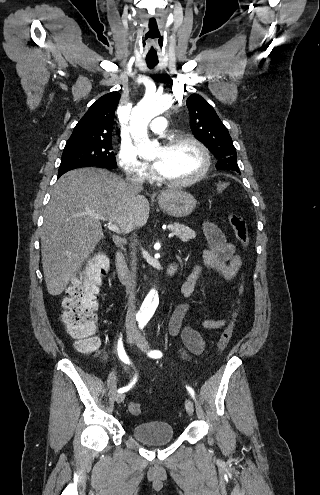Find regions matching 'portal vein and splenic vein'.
I'll use <instances>...</instances> for the list:
<instances>
[{
  "label": "portal vein and splenic vein",
  "mask_w": 320,
  "mask_h": 495,
  "mask_svg": "<svg viewBox=\"0 0 320 495\" xmlns=\"http://www.w3.org/2000/svg\"><path fill=\"white\" fill-rule=\"evenodd\" d=\"M93 217L95 218H98L100 220H103V221H108V228L116 233H120V229L117 225H115L112 221L108 220L107 218L103 217V216H100L96 213H92L91 214ZM175 234L174 233H170L168 236L171 238L173 237Z\"/></svg>",
  "instance_id": "obj_1"
}]
</instances>
